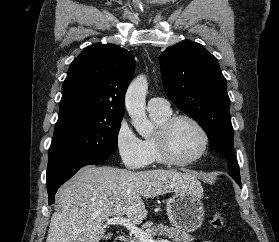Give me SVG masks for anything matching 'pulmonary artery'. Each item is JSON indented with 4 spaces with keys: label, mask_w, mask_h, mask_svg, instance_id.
Returning a JSON list of instances; mask_svg holds the SVG:
<instances>
[{
    "label": "pulmonary artery",
    "mask_w": 279,
    "mask_h": 242,
    "mask_svg": "<svg viewBox=\"0 0 279 242\" xmlns=\"http://www.w3.org/2000/svg\"><path fill=\"white\" fill-rule=\"evenodd\" d=\"M148 110H156V111H169V103L166 99L161 97H154L148 101Z\"/></svg>",
    "instance_id": "1"
}]
</instances>
